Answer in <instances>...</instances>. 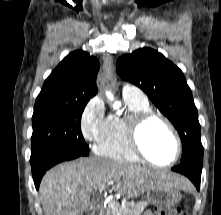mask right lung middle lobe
Returning <instances> with one entry per match:
<instances>
[{
    "mask_svg": "<svg viewBox=\"0 0 221 215\" xmlns=\"http://www.w3.org/2000/svg\"><path fill=\"white\" fill-rule=\"evenodd\" d=\"M86 104L87 102L35 104L31 164L56 150H89L81 133V115Z\"/></svg>",
    "mask_w": 221,
    "mask_h": 215,
    "instance_id": "right-lung-middle-lobe-1",
    "label": "right lung middle lobe"
}]
</instances>
